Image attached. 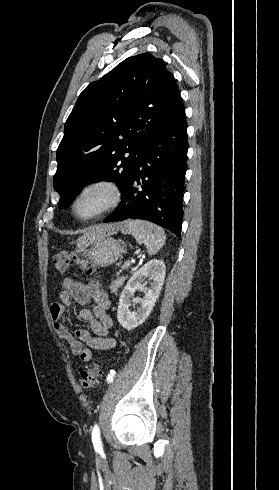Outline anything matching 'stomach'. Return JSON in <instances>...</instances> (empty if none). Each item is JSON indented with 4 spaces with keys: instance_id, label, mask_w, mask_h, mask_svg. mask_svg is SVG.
<instances>
[{
    "instance_id": "stomach-1",
    "label": "stomach",
    "mask_w": 279,
    "mask_h": 490,
    "mask_svg": "<svg viewBox=\"0 0 279 490\" xmlns=\"http://www.w3.org/2000/svg\"><path fill=\"white\" fill-rule=\"evenodd\" d=\"M126 246L121 242H116L114 238H99V240H93L91 242V248L85 250L83 256L94 264L96 268H107L112 266L115 262H118L122 254H125Z\"/></svg>"
}]
</instances>
